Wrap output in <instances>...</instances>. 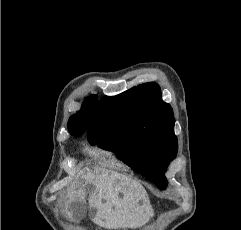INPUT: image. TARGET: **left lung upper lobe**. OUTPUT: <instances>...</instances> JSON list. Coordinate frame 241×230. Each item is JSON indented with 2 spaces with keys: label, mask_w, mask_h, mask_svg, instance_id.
<instances>
[{
  "label": "left lung upper lobe",
  "mask_w": 241,
  "mask_h": 230,
  "mask_svg": "<svg viewBox=\"0 0 241 230\" xmlns=\"http://www.w3.org/2000/svg\"><path fill=\"white\" fill-rule=\"evenodd\" d=\"M174 123L173 110L162 100L159 85L150 82L103 97L87 138L91 145L117 153L137 173L164 188V171L178 148Z\"/></svg>",
  "instance_id": "obj_1"
}]
</instances>
